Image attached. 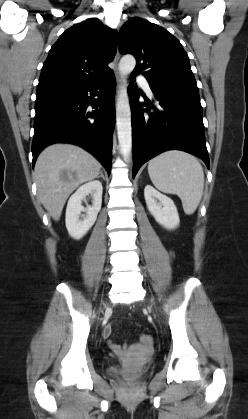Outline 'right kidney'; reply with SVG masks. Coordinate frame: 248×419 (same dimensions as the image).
Listing matches in <instances>:
<instances>
[{
    "label": "right kidney",
    "mask_w": 248,
    "mask_h": 419,
    "mask_svg": "<svg viewBox=\"0 0 248 419\" xmlns=\"http://www.w3.org/2000/svg\"><path fill=\"white\" fill-rule=\"evenodd\" d=\"M103 187L100 181L93 180L78 188L68 200L66 208V228L69 235L74 239H81L94 225L97 214L101 209ZM91 194L93 205L84 208L82 200ZM81 212H86L83 220H80Z\"/></svg>",
    "instance_id": "ca27d5eb"
}]
</instances>
